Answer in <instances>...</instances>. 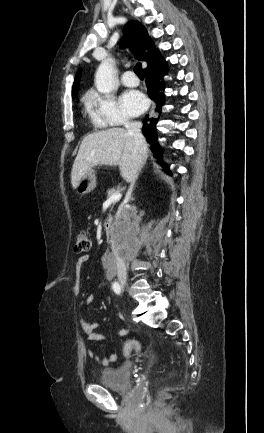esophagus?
Instances as JSON below:
<instances>
[{"mask_svg":"<svg viewBox=\"0 0 264 433\" xmlns=\"http://www.w3.org/2000/svg\"><path fill=\"white\" fill-rule=\"evenodd\" d=\"M154 107H155V105L153 104V106H152V110L154 109Z\"/></svg>","mask_w":264,"mask_h":433,"instance_id":"obj_1","label":"esophagus"}]
</instances>
